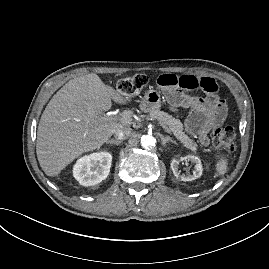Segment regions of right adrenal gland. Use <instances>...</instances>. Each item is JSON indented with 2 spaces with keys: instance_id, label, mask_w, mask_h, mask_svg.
I'll return each mask as SVG.
<instances>
[{
  "instance_id": "1",
  "label": "right adrenal gland",
  "mask_w": 269,
  "mask_h": 269,
  "mask_svg": "<svg viewBox=\"0 0 269 269\" xmlns=\"http://www.w3.org/2000/svg\"><path fill=\"white\" fill-rule=\"evenodd\" d=\"M121 143H122V141L114 140V139H111V140H108V141H107V144L119 145V144H121Z\"/></svg>"
}]
</instances>
